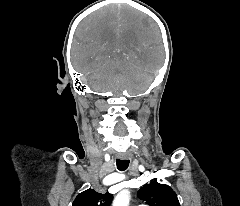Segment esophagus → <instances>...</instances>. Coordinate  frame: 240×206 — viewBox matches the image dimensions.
<instances>
[{
	"mask_svg": "<svg viewBox=\"0 0 240 206\" xmlns=\"http://www.w3.org/2000/svg\"><path fill=\"white\" fill-rule=\"evenodd\" d=\"M123 159H127V157H123Z\"/></svg>",
	"mask_w": 240,
	"mask_h": 206,
	"instance_id": "1",
	"label": "esophagus"
}]
</instances>
